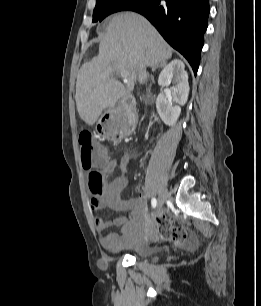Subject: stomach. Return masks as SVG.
<instances>
[{"label":"stomach","instance_id":"stomach-1","mask_svg":"<svg viewBox=\"0 0 261 306\" xmlns=\"http://www.w3.org/2000/svg\"><path fill=\"white\" fill-rule=\"evenodd\" d=\"M120 119L122 122L119 130L117 131V135L119 137H124L131 134L135 129L136 120L126 114H121Z\"/></svg>","mask_w":261,"mask_h":306}]
</instances>
